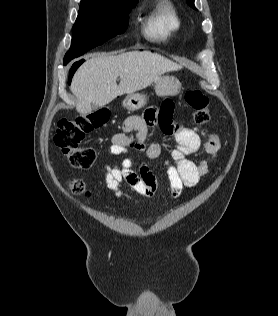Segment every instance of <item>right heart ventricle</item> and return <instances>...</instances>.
<instances>
[{"label": "right heart ventricle", "instance_id": "obj_1", "mask_svg": "<svg viewBox=\"0 0 278 316\" xmlns=\"http://www.w3.org/2000/svg\"><path fill=\"white\" fill-rule=\"evenodd\" d=\"M143 35L151 42L165 43L182 28L180 15L170 0H156L141 19Z\"/></svg>", "mask_w": 278, "mask_h": 316}]
</instances>
